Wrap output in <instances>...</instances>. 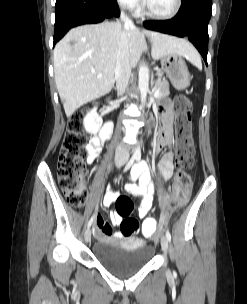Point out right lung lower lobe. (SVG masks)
Wrapping results in <instances>:
<instances>
[{"mask_svg": "<svg viewBox=\"0 0 247 304\" xmlns=\"http://www.w3.org/2000/svg\"><path fill=\"white\" fill-rule=\"evenodd\" d=\"M55 8L53 46L70 28L82 24L99 23L118 17L120 14L116 0H56Z\"/></svg>", "mask_w": 247, "mask_h": 304, "instance_id": "1", "label": "right lung lower lobe"}]
</instances>
